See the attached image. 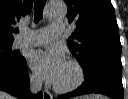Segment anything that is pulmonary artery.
<instances>
[{"mask_svg": "<svg viewBox=\"0 0 128 99\" xmlns=\"http://www.w3.org/2000/svg\"><path fill=\"white\" fill-rule=\"evenodd\" d=\"M64 31L65 24L63 22H55L50 27L35 30L30 33L24 31L16 40V46L23 47L43 45L55 39Z\"/></svg>", "mask_w": 128, "mask_h": 99, "instance_id": "e3ab8cb5", "label": "pulmonary artery"}]
</instances>
